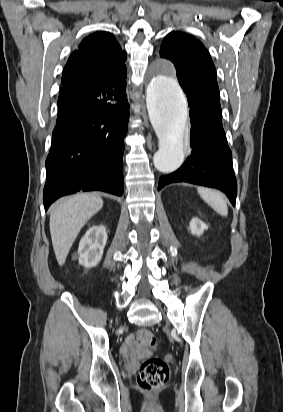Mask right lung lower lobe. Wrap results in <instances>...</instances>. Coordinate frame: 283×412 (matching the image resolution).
Masks as SVG:
<instances>
[{
    "mask_svg": "<svg viewBox=\"0 0 283 412\" xmlns=\"http://www.w3.org/2000/svg\"><path fill=\"white\" fill-rule=\"evenodd\" d=\"M126 84L101 85L58 111L46 159L45 210L80 190L123 194L124 137L129 104Z\"/></svg>",
    "mask_w": 283,
    "mask_h": 412,
    "instance_id": "98d812e1",
    "label": "right lung lower lobe"
}]
</instances>
